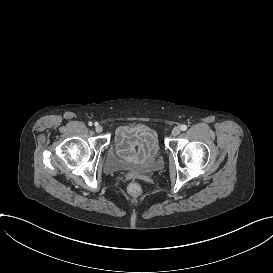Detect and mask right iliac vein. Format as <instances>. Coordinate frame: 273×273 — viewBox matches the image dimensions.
Instances as JSON below:
<instances>
[{"instance_id":"right-iliac-vein-1","label":"right iliac vein","mask_w":273,"mask_h":273,"mask_svg":"<svg viewBox=\"0 0 273 273\" xmlns=\"http://www.w3.org/2000/svg\"><path fill=\"white\" fill-rule=\"evenodd\" d=\"M95 131L97 133H101L103 131V127L99 124H95Z\"/></svg>"}]
</instances>
